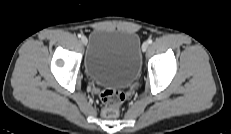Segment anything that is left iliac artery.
Returning a JSON list of instances; mask_svg holds the SVG:
<instances>
[{
  "instance_id": "44dca946",
  "label": "left iliac artery",
  "mask_w": 231,
  "mask_h": 134,
  "mask_svg": "<svg viewBox=\"0 0 231 134\" xmlns=\"http://www.w3.org/2000/svg\"><path fill=\"white\" fill-rule=\"evenodd\" d=\"M152 42H153L152 39H149V40H148V43H149V44H152Z\"/></svg>"
}]
</instances>
